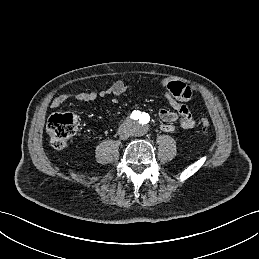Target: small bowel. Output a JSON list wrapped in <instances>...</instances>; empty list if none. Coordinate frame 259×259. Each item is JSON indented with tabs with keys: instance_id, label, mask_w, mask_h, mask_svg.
<instances>
[{
	"instance_id": "1",
	"label": "small bowel",
	"mask_w": 259,
	"mask_h": 259,
	"mask_svg": "<svg viewBox=\"0 0 259 259\" xmlns=\"http://www.w3.org/2000/svg\"><path fill=\"white\" fill-rule=\"evenodd\" d=\"M160 85L168 90L169 94L167 98L173 108V110L162 108L158 111V117L161 120V130L166 133L173 132L176 122L183 129L193 128L196 121L190 114L186 102L191 98L194 89L177 80H162ZM127 88V85L123 81H115L110 87L99 92L81 91L77 93H64L55 97L51 102V106L58 108L69 99L90 103L94 102L97 98L120 96L127 91Z\"/></svg>"
}]
</instances>
